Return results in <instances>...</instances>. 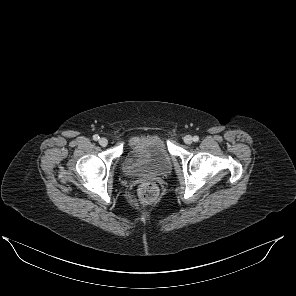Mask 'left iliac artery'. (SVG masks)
<instances>
[{
  "label": "left iliac artery",
  "instance_id": "obj_1",
  "mask_svg": "<svg viewBox=\"0 0 296 296\" xmlns=\"http://www.w3.org/2000/svg\"><path fill=\"white\" fill-rule=\"evenodd\" d=\"M193 140H194L195 142H198V141H199V137H198V136H194V137H193Z\"/></svg>",
  "mask_w": 296,
  "mask_h": 296
}]
</instances>
